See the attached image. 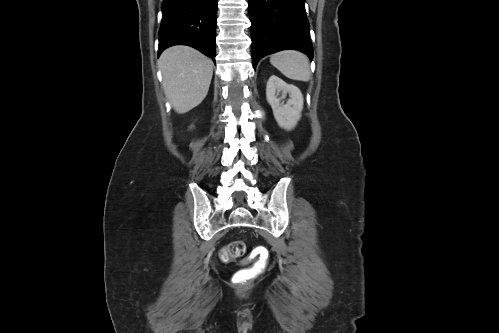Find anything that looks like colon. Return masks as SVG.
<instances>
[{
	"label": "colon",
	"mask_w": 499,
	"mask_h": 333,
	"mask_svg": "<svg viewBox=\"0 0 499 333\" xmlns=\"http://www.w3.org/2000/svg\"><path fill=\"white\" fill-rule=\"evenodd\" d=\"M245 244L242 241H233L222 248L220 258L224 262H228L234 258L241 257L245 253ZM252 258H257L255 264L248 269L238 272L235 276V282L242 285L247 280L258 276L264 269L266 260L268 258V251L265 248L256 249L250 258L243 261V264L249 263Z\"/></svg>",
	"instance_id": "5ec220e1"
}]
</instances>
